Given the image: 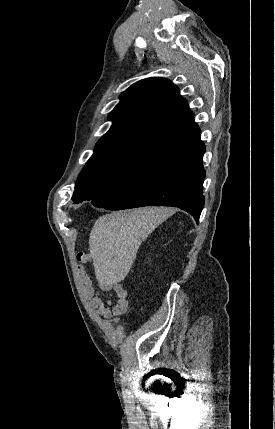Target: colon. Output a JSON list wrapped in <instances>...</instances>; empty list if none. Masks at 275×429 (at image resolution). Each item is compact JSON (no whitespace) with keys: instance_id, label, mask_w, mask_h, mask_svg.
<instances>
[{"instance_id":"1","label":"colon","mask_w":275,"mask_h":429,"mask_svg":"<svg viewBox=\"0 0 275 429\" xmlns=\"http://www.w3.org/2000/svg\"><path fill=\"white\" fill-rule=\"evenodd\" d=\"M84 259L83 255H79V261H82Z\"/></svg>"}]
</instances>
